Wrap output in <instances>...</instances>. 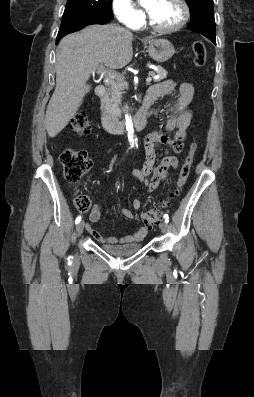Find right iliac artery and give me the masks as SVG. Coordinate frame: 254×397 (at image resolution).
<instances>
[{"label": "right iliac artery", "mask_w": 254, "mask_h": 397, "mask_svg": "<svg viewBox=\"0 0 254 397\" xmlns=\"http://www.w3.org/2000/svg\"><path fill=\"white\" fill-rule=\"evenodd\" d=\"M81 221V216H78L75 220V223L78 224Z\"/></svg>", "instance_id": "right-iliac-artery-1"}]
</instances>
